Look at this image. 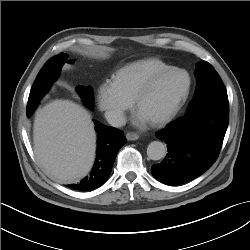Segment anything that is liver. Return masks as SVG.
Listing matches in <instances>:
<instances>
[{"instance_id":"obj_1","label":"liver","mask_w":250,"mask_h":250,"mask_svg":"<svg viewBox=\"0 0 250 250\" xmlns=\"http://www.w3.org/2000/svg\"><path fill=\"white\" fill-rule=\"evenodd\" d=\"M33 140L39 163L59 182H75L91 170L96 134L91 115L80 105L57 99L39 109Z\"/></svg>"}]
</instances>
